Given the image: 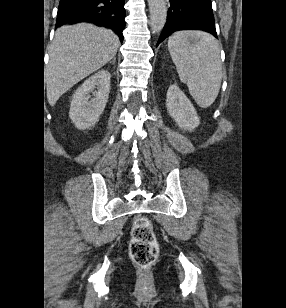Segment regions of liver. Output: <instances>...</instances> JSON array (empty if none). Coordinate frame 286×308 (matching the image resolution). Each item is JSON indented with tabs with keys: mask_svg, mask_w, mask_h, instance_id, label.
<instances>
[{
	"mask_svg": "<svg viewBox=\"0 0 286 308\" xmlns=\"http://www.w3.org/2000/svg\"><path fill=\"white\" fill-rule=\"evenodd\" d=\"M118 36L87 23L58 28L49 50L46 95L49 105L71 87L108 63L117 53Z\"/></svg>",
	"mask_w": 286,
	"mask_h": 308,
	"instance_id": "1",
	"label": "liver"
}]
</instances>
